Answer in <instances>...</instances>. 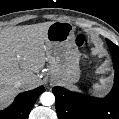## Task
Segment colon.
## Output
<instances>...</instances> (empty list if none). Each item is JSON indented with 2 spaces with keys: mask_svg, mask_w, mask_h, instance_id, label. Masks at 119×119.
Wrapping results in <instances>:
<instances>
[{
  "mask_svg": "<svg viewBox=\"0 0 119 119\" xmlns=\"http://www.w3.org/2000/svg\"><path fill=\"white\" fill-rule=\"evenodd\" d=\"M75 41H76V44H77L78 46H83V45H84V42H85V38H84V36H82V35H78V36L76 37Z\"/></svg>",
  "mask_w": 119,
  "mask_h": 119,
  "instance_id": "obj_1",
  "label": "colon"
}]
</instances>
